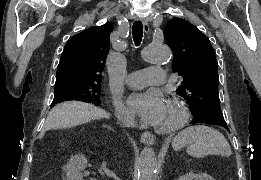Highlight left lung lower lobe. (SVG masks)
<instances>
[{
  "label": "left lung lower lobe",
  "mask_w": 261,
  "mask_h": 180,
  "mask_svg": "<svg viewBox=\"0 0 261 180\" xmlns=\"http://www.w3.org/2000/svg\"><path fill=\"white\" fill-rule=\"evenodd\" d=\"M195 123L215 124V125H218V126H222V127L226 128L228 130V127H227L225 122H223V123L217 122V121L212 120V119H204V120H201V121H196V120L191 121V124H195Z\"/></svg>",
  "instance_id": "0a47b994"
}]
</instances>
